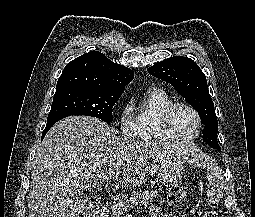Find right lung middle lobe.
Instances as JSON below:
<instances>
[{
    "label": "right lung middle lobe",
    "instance_id": "1",
    "mask_svg": "<svg viewBox=\"0 0 255 217\" xmlns=\"http://www.w3.org/2000/svg\"><path fill=\"white\" fill-rule=\"evenodd\" d=\"M121 94L84 87L56 89L47 121L62 115H85L112 122V109Z\"/></svg>",
    "mask_w": 255,
    "mask_h": 217
}]
</instances>
